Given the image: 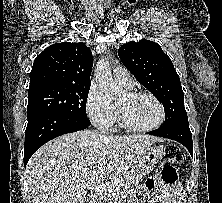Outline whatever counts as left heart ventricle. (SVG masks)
<instances>
[{
	"mask_svg": "<svg viewBox=\"0 0 222 203\" xmlns=\"http://www.w3.org/2000/svg\"><path fill=\"white\" fill-rule=\"evenodd\" d=\"M128 119L136 126L148 127L155 124L160 118V110L149 97L141 96L128 98L125 94L117 100Z\"/></svg>",
	"mask_w": 222,
	"mask_h": 203,
	"instance_id": "1",
	"label": "left heart ventricle"
}]
</instances>
